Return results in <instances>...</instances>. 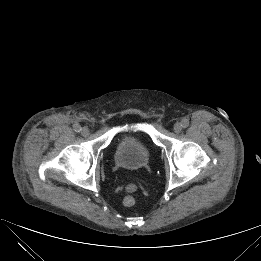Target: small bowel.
<instances>
[{"label":"small bowel","mask_w":261,"mask_h":261,"mask_svg":"<svg viewBox=\"0 0 261 261\" xmlns=\"http://www.w3.org/2000/svg\"><path fill=\"white\" fill-rule=\"evenodd\" d=\"M127 191L128 192H134L135 191V187L130 185V186L127 187Z\"/></svg>","instance_id":"obj_1"}]
</instances>
